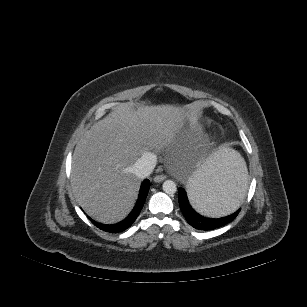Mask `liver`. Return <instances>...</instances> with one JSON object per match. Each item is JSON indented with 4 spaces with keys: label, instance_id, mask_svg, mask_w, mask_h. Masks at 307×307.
Returning a JSON list of instances; mask_svg holds the SVG:
<instances>
[{
    "label": "liver",
    "instance_id": "1",
    "mask_svg": "<svg viewBox=\"0 0 307 307\" xmlns=\"http://www.w3.org/2000/svg\"><path fill=\"white\" fill-rule=\"evenodd\" d=\"M191 104L124 105L97 122L77 144L71 185L78 204L96 221L112 224L133 208L141 179L133 172L142 156L176 149L186 125L198 126Z\"/></svg>",
    "mask_w": 307,
    "mask_h": 307
}]
</instances>
